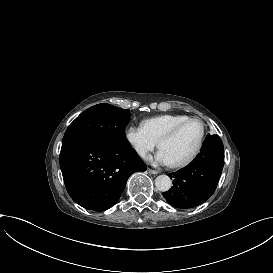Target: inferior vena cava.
<instances>
[{
  "label": "inferior vena cava",
  "mask_w": 273,
  "mask_h": 273,
  "mask_svg": "<svg viewBox=\"0 0 273 273\" xmlns=\"http://www.w3.org/2000/svg\"><path fill=\"white\" fill-rule=\"evenodd\" d=\"M143 154H145V151H143V152L141 153V156H143Z\"/></svg>",
  "instance_id": "1"
}]
</instances>
